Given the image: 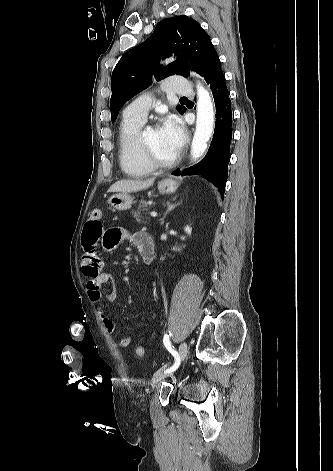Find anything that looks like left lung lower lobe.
<instances>
[{
  "label": "left lung lower lobe",
  "mask_w": 333,
  "mask_h": 471,
  "mask_svg": "<svg viewBox=\"0 0 333 471\" xmlns=\"http://www.w3.org/2000/svg\"><path fill=\"white\" fill-rule=\"evenodd\" d=\"M201 75L210 85L215 107L216 122L213 139L206 156L196 165L174 171V175H202L211 180L224 198L225 185L228 177V164L230 161V143L232 138V111L230 107L229 92L225 77L222 73L221 63L216 52L206 62Z\"/></svg>",
  "instance_id": "0a47b994"
}]
</instances>
